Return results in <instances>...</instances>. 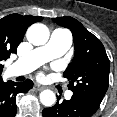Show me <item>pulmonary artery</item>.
<instances>
[{
    "label": "pulmonary artery",
    "instance_id": "obj_1",
    "mask_svg": "<svg viewBox=\"0 0 117 117\" xmlns=\"http://www.w3.org/2000/svg\"><path fill=\"white\" fill-rule=\"evenodd\" d=\"M71 42V33L66 29L57 28L53 30L45 45L35 48L19 58L9 67L8 72L11 76L30 73L42 64L65 54L70 48ZM71 96L72 92L68 91L66 98L70 99Z\"/></svg>",
    "mask_w": 117,
    "mask_h": 117
}]
</instances>
